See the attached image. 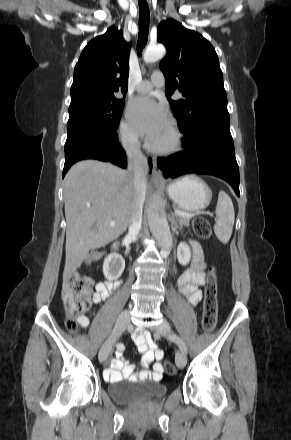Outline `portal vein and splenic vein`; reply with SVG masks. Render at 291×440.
I'll use <instances>...</instances> for the list:
<instances>
[{
	"label": "portal vein and splenic vein",
	"instance_id": "obj_1",
	"mask_svg": "<svg viewBox=\"0 0 291 440\" xmlns=\"http://www.w3.org/2000/svg\"><path fill=\"white\" fill-rule=\"evenodd\" d=\"M175 215L180 216V217H187V218H192L194 216V214L191 213H186L180 210H174ZM115 225L114 222H110V226L113 227Z\"/></svg>",
	"mask_w": 291,
	"mask_h": 440
}]
</instances>
